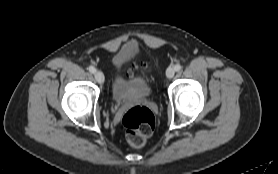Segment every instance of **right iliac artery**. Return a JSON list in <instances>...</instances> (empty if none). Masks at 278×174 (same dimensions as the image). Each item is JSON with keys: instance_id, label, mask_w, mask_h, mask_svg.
I'll list each match as a JSON object with an SVG mask.
<instances>
[{"instance_id": "right-iliac-artery-1", "label": "right iliac artery", "mask_w": 278, "mask_h": 174, "mask_svg": "<svg viewBox=\"0 0 278 174\" xmlns=\"http://www.w3.org/2000/svg\"><path fill=\"white\" fill-rule=\"evenodd\" d=\"M88 70H89L91 73H95V72H96V69H95L93 66H89Z\"/></svg>"}]
</instances>
